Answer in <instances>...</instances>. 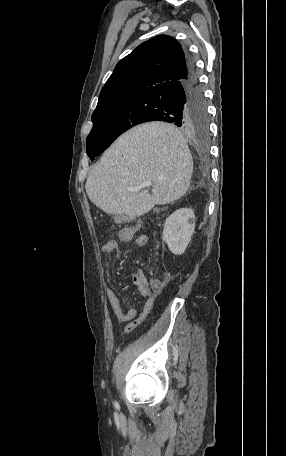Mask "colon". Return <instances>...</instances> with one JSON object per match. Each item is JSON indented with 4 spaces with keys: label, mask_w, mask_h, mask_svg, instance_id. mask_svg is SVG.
<instances>
[{
    "label": "colon",
    "mask_w": 286,
    "mask_h": 456,
    "mask_svg": "<svg viewBox=\"0 0 286 456\" xmlns=\"http://www.w3.org/2000/svg\"><path fill=\"white\" fill-rule=\"evenodd\" d=\"M136 230H137V227H128V228H125V233L127 235H133ZM151 284L155 290H158L162 287V281L160 279H153L151 281Z\"/></svg>",
    "instance_id": "obj_1"
}]
</instances>
